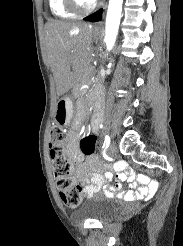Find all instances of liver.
<instances>
[{
  "mask_svg": "<svg viewBox=\"0 0 183 246\" xmlns=\"http://www.w3.org/2000/svg\"><path fill=\"white\" fill-rule=\"evenodd\" d=\"M92 27L85 23L50 21L46 47L58 96L67 92L92 60Z\"/></svg>",
  "mask_w": 183,
  "mask_h": 246,
  "instance_id": "1",
  "label": "liver"
}]
</instances>
